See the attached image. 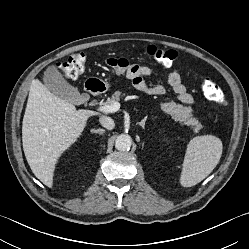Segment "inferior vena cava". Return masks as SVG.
<instances>
[{
	"label": "inferior vena cava",
	"mask_w": 249,
	"mask_h": 249,
	"mask_svg": "<svg viewBox=\"0 0 249 249\" xmlns=\"http://www.w3.org/2000/svg\"><path fill=\"white\" fill-rule=\"evenodd\" d=\"M99 122L104 128L108 130H112L115 126L113 119L105 115L100 116Z\"/></svg>",
	"instance_id": "obj_1"
}]
</instances>
